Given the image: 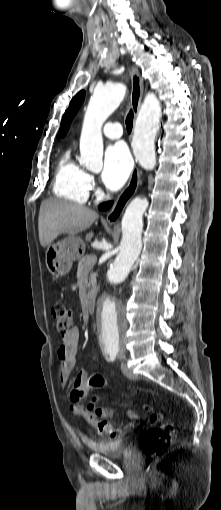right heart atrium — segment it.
Returning <instances> with one entry per match:
<instances>
[{"mask_svg": "<svg viewBox=\"0 0 221 510\" xmlns=\"http://www.w3.org/2000/svg\"><path fill=\"white\" fill-rule=\"evenodd\" d=\"M88 186H89V189H91V190L96 189V181H95L94 176H92V175H88Z\"/></svg>", "mask_w": 221, "mask_h": 510, "instance_id": "1", "label": "right heart atrium"}]
</instances>
